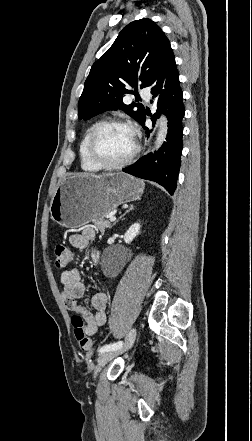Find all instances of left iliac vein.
<instances>
[{"mask_svg": "<svg viewBox=\"0 0 252 441\" xmlns=\"http://www.w3.org/2000/svg\"><path fill=\"white\" fill-rule=\"evenodd\" d=\"M136 338V329L132 328L126 336L125 344L120 349L105 351L97 359V365L94 368V377L98 375L102 367L119 354L128 351L134 344Z\"/></svg>", "mask_w": 252, "mask_h": 441, "instance_id": "left-iliac-vein-1", "label": "left iliac vein"}]
</instances>
